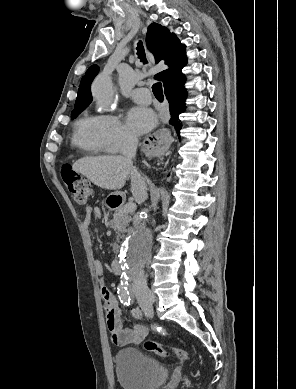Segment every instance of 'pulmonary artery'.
I'll return each mask as SVG.
<instances>
[{"label":"pulmonary artery","instance_id":"pulmonary-artery-1","mask_svg":"<svg viewBox=\"0 0 296 389\" xmlns=\"http://www.w3.org/2000/svg\"><path fill=\"white\" fill-rule=\"evenodd\" d=\"M131 96L139 104H149L151 102L150 92L147 88H136L132 91Z\"/></svg>","mask_w":296,"mask_h":389}]
</instances>
